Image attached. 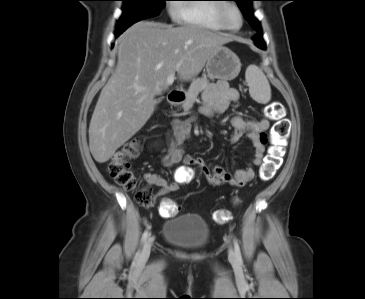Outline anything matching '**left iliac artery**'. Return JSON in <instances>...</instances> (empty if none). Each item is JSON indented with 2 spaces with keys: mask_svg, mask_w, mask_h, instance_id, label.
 I'll return each instance as SVG.
<instances>
[{
  "mask_svg": "<svg viewBox=\"0 0 365 299\" xmlns=\"http://www.w3.org/2000/svg\"><path fill=\"white\" fill-rule=\"evenodd\" d=\"M234 248H235V252H236L238 261L240 263H242V256H241L240 246L238 244L237 239H234Z\"/></svg>",
  "mask_w": 365,
  "mask_h": 299,
  "instance_id": "44dca946",
  "label": "left iliac artery"
}]
</instances>
